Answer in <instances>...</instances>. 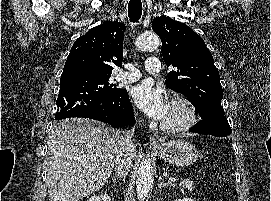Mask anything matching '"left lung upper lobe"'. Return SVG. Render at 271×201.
<instances>
[{"label": "left lung upper lobe", "instance_id": "1", "mask_svg": "<svg viewBox=\"0 0 271 201\" xmlns=\"http://www.w3.org/2000/svg\"><path fill=\"white\" fill-rule=\"evenodd\" d=\"M152 29L162 41V55L167 66V87L187 96L201 116L194 127L207 128L205 134L225 137L232 130L221 106L223 89L213 56L204 40L184 23L169 17H156Z\"/></svg>", "mask_w": 271, "mask_h": 201}]
</instances>
